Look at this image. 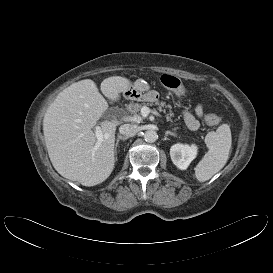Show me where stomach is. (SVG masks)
I'll return each instance as SVG.
<instances>
[{
	"instance_id": "stomach-1",
	"label": "stomach",
	"mask_w": 273,
	"mask_h": 273,
	"mask_svg": "<svg viewBox=\"0 0 273 273\" xmlns=\"http://www.w3.org/2000/svg\"><path fill=\"white\" fill-rule=\"evenodd\" d=\"M127 99L142 100V101H155L156 93L149 90L147 84L137 82L132 89H127L123 92Z\"/></svg>"
}]
</instances>
